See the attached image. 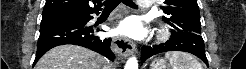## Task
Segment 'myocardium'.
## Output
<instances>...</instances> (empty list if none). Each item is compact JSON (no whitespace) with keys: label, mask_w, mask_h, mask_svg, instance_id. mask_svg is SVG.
I'll return each mask as SVG.
<instances>
[{"label":"myocardium","mask_w":246,"mask_h":69,"mask_svg":"<svg viewBox=\"0 0 246 69\" xmlns=\"http://www.w3.org/2000/svg\"><path fill=\"white\" fill-rule=\"evenodd\" d=\"M169 37V32L167 28H161L159 33H158V40L160 41H164L166 39H168Z\"/></svg>","instance_id":"f54148a6"}]
</instances>
